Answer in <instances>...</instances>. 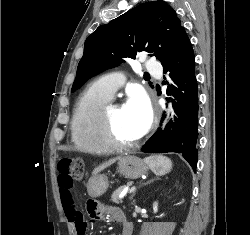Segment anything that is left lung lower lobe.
I'll return each mask as SVG.
<instances>
[{"mask_svg": "<svg viewBox=\"0 0 250 235\" xmlns=\"http://www.w3.org/2000/svg\"><path fill=\"white\" fill-rule=\"evenodd\" d=\"M161 63L164 73L170 72L169 77L173 82L168 84L167 95H173L176 99L172 100L176 116L174 122L170 121L163 131L154 134L141 150L147 153H181L196 172L198 88L194 52L184 28L180 30L169 55Z\"/></svg>", "mask_w": 250, "mask_h": 235, "instance_id": "obj_1", "label": "left lung lower lobe"}]
</instances>
